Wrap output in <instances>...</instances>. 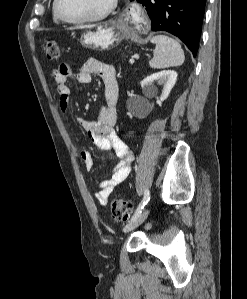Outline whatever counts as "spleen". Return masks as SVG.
Masks as SVG:
<instances>
[{
  "mask_svg": "<svg viewBox=\"0 0 247 299\" xmlns=\"http://www.w3.org/2000/svg\"><path fill=\"white\" fill-rule=\"evenodd\" d=\"M150 41L156 45L154 57L149 62L151 68L163 69L184 63V52L176 40L166 35H156Z\"/></svg>",
  "mask_w": 247,
  "mask_h": 299,
  "instance_id": "spleen-1",
  "label": "spleen"
}]
</instances>
